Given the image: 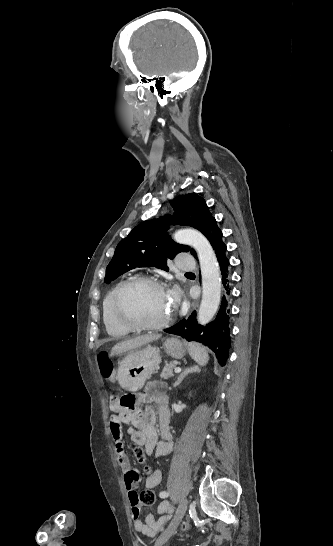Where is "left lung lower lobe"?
Returning a JSON list of instances; mask_svg holds the SVG:
<instances>
[{"instance_id": "obj_1", "label": "left lung lower lobe", "mask_w": 333, "mask_h": 546, "mask_svg": "<svg viewBox=\"0 0 333 546\" xmlns=\"http://www.w3.org/2000/svg\"><path fill=\"white\" fill-rule=\"evenodd\" d=\"M207 239L215 250L222 274V283L227 290V294H229L230 290L227 287L229 260L225 254L227 247L222 241V232L218 228L216 221L213 222ZM229 330V306L227 300L223 297L215 320L205 327L197 324L196 312H193L188 319L181 320L176 325L166 329L165 332L179 335L187 341L203 343L215 352L219 364L224 366L228 359L230 347Z\"/></svg>"}]
</instances>
